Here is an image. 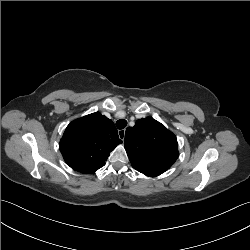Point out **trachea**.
Here are the masks:
<instances>
[{
  "instance_id": "obj_1",
  "label": "trachea",
  "mask_w": 250,
  "mask_h": 250,
  "mask_svg": "<svg viewBox=\"0 0 250 250\" xmlns=\"http://www.w3.org/2000/svg\"><path fill=\"white\" fill-rule=\"evenodd\" d=\"M126 125H127V121L124 119H120L116 122V126L118 129H123L126 127Z\"/></svg>"
}]
</instances>
